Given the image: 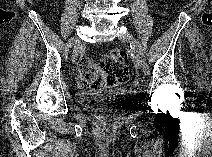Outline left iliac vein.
<instances>
[{
	"label": "left iliac vein",
	"mask_w": 212,
	"mask_h": 157,
	"mask_svg": "<svg viewBox=\"0 0 212 157\" xmlns=\"http://www.w3.org/2000/svg\"><path fill=\"white\" fill-rule=\"evenodd\" d=\"M119 39L122 40V41H126V42H129L130 44H135V40H134V37L132 34L130 33H125V34H122L119 36ZM135 61H136V64L137 66L143 70L144 74H145V70H144V67H143V63H142V58L140 57L139 54L136 53L135 55ZM146 75V74H145Z\"/></svg>",
	"instance_id": "obj_1"
}]
</instances>
